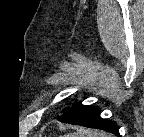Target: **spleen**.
Wrapping results in <instances>:
<instances>
[{"label": "spleen", "mask_w": 144, "mask_h": 137, "mask_svg": "<svg viewBox=\"0 0 144 137\" xmlns=\"http://www.w3.org/2000/svg\"><path fill=\"white\" fill-rule=\"evenodd\" d=\"M65 137H109V134L98 130L81 129L78 132L68 134Z\"/></svg>", "instance_id": "1"}]
</instances>
